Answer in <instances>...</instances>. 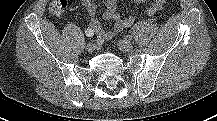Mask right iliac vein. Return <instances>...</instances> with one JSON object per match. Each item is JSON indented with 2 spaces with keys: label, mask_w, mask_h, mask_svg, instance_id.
Masks as SVG:
<instances>
[{
  "label": "right iliac vein",
  "mask_w": 217,
  "mask_h": 121,
  "mask_svg": "<svg viewBox=\"0 0 217 121\" xmlns=\"http://www.w3.org/2000/svg\"><path fill=\"white\" fill-rule=\"evenodd\" d=\"M95 49H96V45H95V43H93V42H89V43L86 45V50H87L89 53L94 52Z\"/></svg>",
  "instance_id": "63e3f726"
}]
</instances>
